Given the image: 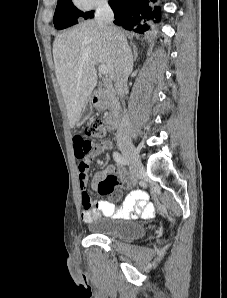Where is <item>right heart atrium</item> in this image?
<instances>
[{"mask_svg":"<svg viewBox=\"0 0 227 298\" xmlns=\"http://www.w3.org/2000/svg\"><path fill=\"white\" fill-rule=\"evenodd\" d=\"M73 4L80 10L89 11L101 6L106 0H72Z\"/></svg>","mask_w":227,"mask_h":298,"instance_id":"obj_1","label":"right heart atrium"}]
</instances>
